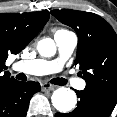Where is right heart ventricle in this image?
<instances>
[{
	"mask_svg": "<svg viewBox=\"0 0 117 117\" xmlns=\"http://www.w3.org/2000/svg\"><path fill=\"white\" fill-rule=\"evenodd\" d=\"M62 31H65V30H63V29H58V30H56L55 34L58 33V32H62Z\"/></svg>",
	"mask_w": 117,
	"mask_h": 117,
	"instance_id": "e07e8e85",
	"label": "right heart ventricle"
}]
</instances>
